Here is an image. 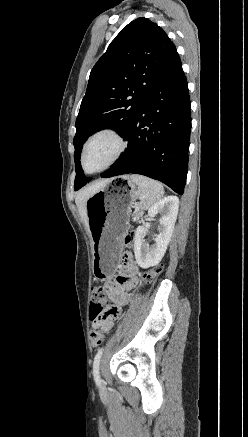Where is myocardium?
I'll return each mask as SVG.
<instances>
[{"label":"myocardium","instance_id":"1","mask_svg":"<svg viewBox=\"0 0 248 437\" xmlns=\"http://www.w3.org/2000/svg\"><path fill=\"white\" fill-rule=\"evenodd\" d=\"M103 135H108V136H111L112 138H114V140L117 142V145H118L117 149H116L115 153L113 154V156L110 158V160L107 163H105L102 167H100L96 170H93V171H89V170H87L86 165H85V155H86L87 148H88L89 144L94 139H96L97 137L103 136ZM127 147H128V143L119 130H117L116 128L111 127V126H105V127L99 128L98 130L94 131L91 135H89L83 144L82 151H81V157H80L81 167H82L83 171L88 173V174L100 173V172L110 168L112 165H114L121 158V156L125 153Z\"/></svg>","mask_w":248,"mask_h":437}]
</instances>
